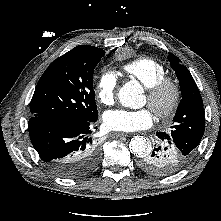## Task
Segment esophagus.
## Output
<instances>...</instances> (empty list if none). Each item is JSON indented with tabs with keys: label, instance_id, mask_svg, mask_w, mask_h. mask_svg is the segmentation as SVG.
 <instances>
[{
	"label": "esophagus",
	"instance_id": "obj_1",
	"mask_svg": "<svg viewBox=\"0 0 221 221\" xmlns=\"http://www.w3.org/2000/svg\"><path fill=\"white\" fill-rule=\"evenodd\" d=\"M130 134H128V133H121V132H115V133H113L112 134V136H114V137H128Z\"/></svg>",
	"mask_w": 221,
	"mask_h": 221
}]
</instances>
